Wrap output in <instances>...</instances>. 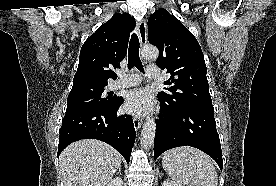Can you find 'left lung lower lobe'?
I'll return each mask as SVG.
<instances>
[{"label": "left lung lower lobe", "instance_id": "obj_1", "mask_svg": "<svg viewBox=\"0 0 276 186\" xmlns=\"http://www.w3.org/2000/svg\"><path fill=\"white\" fill-rule=\"evenodd\" d=\"M161 116L157 120L154 140V159L164 151L179 146H192L212 157L220 169L223 159L213 107H194L178 110L165 103L160 95Z\"/></svg>", "mask_w": 276, "mask_h": 186}]
</instances>
